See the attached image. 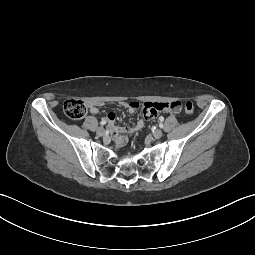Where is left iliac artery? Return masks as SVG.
Instances as JSON below:
<instances>
[{"label":"left iliac artery","mask_w":255,"mask_h":255,"mask_svg":"<svg viewBox=\"0 0 255 255\" xmlns=\"http://www.w3.org/2000/svg\"><path fill=\"white\" fill-rule=\"evenodd\" d=\"M160 127L163 128V124L162 123H160Z\"/></svg>","instance_id":"left-iliac-artery-1"}]
</instances>
